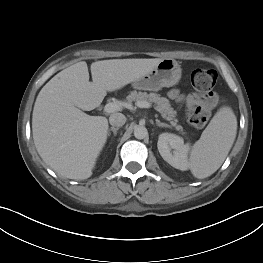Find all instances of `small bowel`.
<instances>
[{"label":"small bowel","instance_id":"obj_1","mask_svg":"<svg viewBox=\"0 0 263 263\" xmlns=\"http://www.w3.org/2000/svg\"><path fill=\"white\" fill-rule=\"evenodd\" d=\"M170 98L178 102H184L187 106L199 103L201 98L197 94L182 95L178 90H172L169 93Z\"/></svg>","mask_w":263,"mask_h":263}]
</instances>
